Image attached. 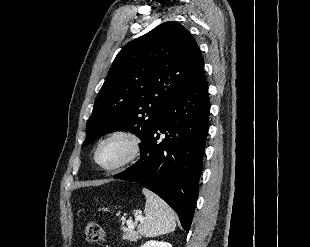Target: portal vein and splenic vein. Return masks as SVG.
<instances>
[{"mask_svg":"<svg viewBox=\"0 0 310 247\" xmlns=\"http://www.w3.org/2000/svg\"><path fill=\"white\" fill-rule=\"evenodd\" d=\"M137 220L141 221L142 217L138 216ZM127 226H128L129 229H134L135 223L132 220H127Z\"/></svg>","mask_w":310,"mask_h":247,"instance_id":"obj_1","label":"portal vein and splenic vein"}]
</instances>
